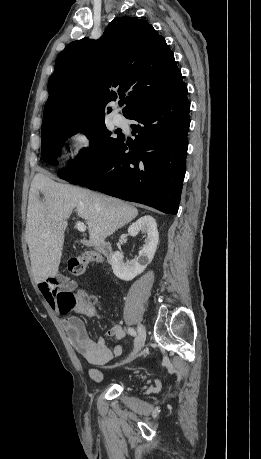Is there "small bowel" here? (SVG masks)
Returning <instances> with one entry per match:
<instances>
[{
    "mask_svg": "<svg viewBox=\"0 0 261 459\" xmlns=\"http://www.w3.org/2000/svg\"><path fill=\"white\" fill-rule=\"evenodd\" d=\"M89 254L92 256V261L103 263V259L98 253L91 252ZM52 281L56 284H61V286L52 289L50 283L41 282L39 289L51 308L60 316L62 327L66 331L76 352L90 365L95 367L104 366L113 358L120 357L123 352L121 344H117L113 349H110L105 337H100L97 340L91 337L81 318L72 314H62V298L67 294H73L72 292L76 288V283L60 276L53 278ZM81 312L90 318L97 315L95 309L83 310ZM107 337L121 341L125 338V331L119 324H116L107 332ZM89 376L97 382L103 379V373L96 368L89 369Z\"/></svg>",
    "mask_w": 261,
    "mask_h": 459,
    "instance_id": "1",
    "label": "small bowel"
}]
</instances>
